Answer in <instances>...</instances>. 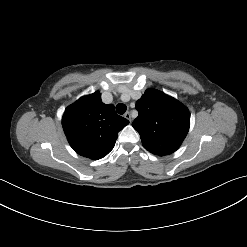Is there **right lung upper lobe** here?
Returning a JSON list of instances; mask_svg holds the SVG:
<instances>
[{"mask_svg":"<svg viewBox=\"0 0 247 247\" xmlns=\"http://www.w3.org/2000/svg\"><path fill=\"white\" fill-rule=\"evenodd\" d=\"M129 121L116 114L112 104H104L95 92L80 98L63 115L62 126L71 147L81 156L97 160L115 146L118 132Z\"/></svg>","mask_w":247,"mask_h":247,"instance_id":"cb5924a9","label":"right lung upper lobe"}]
</instances>
